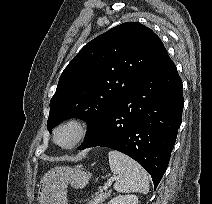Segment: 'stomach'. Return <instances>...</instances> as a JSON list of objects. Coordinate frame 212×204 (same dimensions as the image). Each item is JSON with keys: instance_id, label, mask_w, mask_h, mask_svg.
Masks as SVG:
<instances>
[{"instance_id": "1", "label": "stomach", "mask_w": 212, "mask_h": 204, "mask_svg": "<svg viewBox=\"0 0 212 204\" xmlns=\"http://www.w3.org/2000/svg\"><path fill=\"white\" fill-rule=\"evenodd\" d=\"M89 174L68 166L55 167L41 179L38 189V204H67V187L83 188L89 181Z\"/></svg>"}]
</instances>
